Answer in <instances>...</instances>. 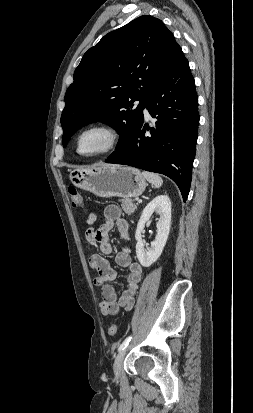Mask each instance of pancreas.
<instances>
[{"mask_svg":"<svg viewBox=\"0 0 253 413\" xmlns=\"http://www.w3.org/2000/svg\"><path fill=\"white\" fill-rule=\"evenodd\" d=\"M120 201L122 203L121 206H122L123 211L128 215L134 213L135 210L137 209V204H134L133 200L130 198H124V199H121Z\"/></svg>","mask_w":253,"mask_h":413,"instance_id":"obj_1","label":"pancreas"}]
</instances>
